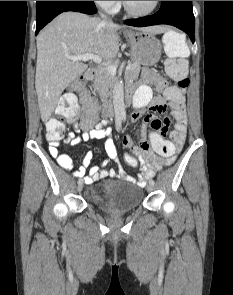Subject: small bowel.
<instances>
[{
    "label": "small bowel",
    "mask_w": 233,
    "mask_h": 295,
    "mask_svg": "<svg viewBox=\"0 0 233 295\" xmlns=\"http://www.w3.org/2000/svg\"><path fill=\"white\" fill-rule=\"evenodd\" d=\"M145 84L138 87L134 98V111L131 114L132 122L141 120L136 138L138 144L130 136H125L123 144L126 148L133 151L140 162V173L137 179L128 176L123 167L119 164L117 149L112 139L111 129L108 127L110 122L106 119L96 122L95 116L90 119L87 117L91 110H96V102L89 92H85L80 96L81 106L83 109V117L79 124L75 127V132H70L65 139L66 143L72 146L79 145L82 141L89 139H104L105 150L108 159L105 160L101 167L92 166L89 170V175L84 177L87 184H91L102 178H121L133 181L140 186L145 185L149 178H152L155 172L163 167H167L175 160V152L179 151L184 144L187 131V118L185 112V98L183 94L172 96L169 92V87L165 84L164 80L154 71L145 70L143 73ZM150 84H155L158 88V94L153 96ZM172 110L171 114L175 121L174 129L170 132V141L173 143L175 150L170 156H155L151 152L149 143L146 140V131L151 127L155 131L167 133L171 125V119L165 118L163 121L149 112L165 113L167 109ZM81 135H76L80 133ZM58 142L49 143V152L58 164L64 169L70 170L73 167L72 159L65 154H59ZM93 152L88 151L82 162V166L78 171L74 172L76 177H83L92 160ZM118 163L117 171L114 169H103L109 161Z\"/></svg>",
    "instance_id": "1"
}]
</instances>
